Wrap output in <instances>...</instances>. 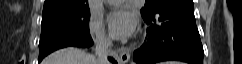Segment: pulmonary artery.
Here are the masks:
<instances>
[{"instance_id": "obj_1", "label": "pulmonary artery", "mask_w": 242, "mask_h": 64, "mask_svg": "<svg viewBox=\"0 0 242 64\" xmlns=\"http://www.w3.org/2000/svg\"><path fill=\"white\" fill-rule=\"evenodd\" d=\"M122 2H124V0H108V3L111 5H118Z\"/></svg>"}]
</instances>
